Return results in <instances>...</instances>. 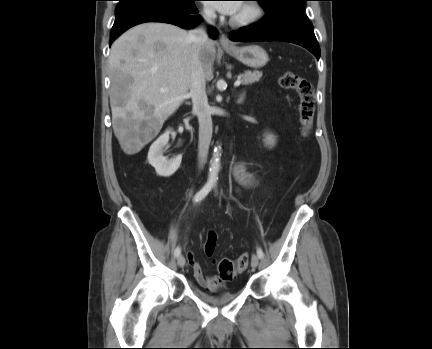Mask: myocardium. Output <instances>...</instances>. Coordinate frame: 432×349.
I'll list each match as a JSON object with an SVG mask.
<instances>
[{
    "label": "myocardium",
    "mask_w": 432,
    "mask_h": 349,
    "mask_svg": "<svg viewBox=\"0 0 432 349\" xmlns=\"http://www.w3.org/2000/svg\"><path fill=\"white\" fill-rule=\"evenodd\" d=\"M243 5H246L250 9V13L243 17L232 16L230 19L231 25L235 27L251 26L260 21L264 16V9L259 2L250 0Z\"/></svg>",
    "instance_id": "1"
}]
</instances>
